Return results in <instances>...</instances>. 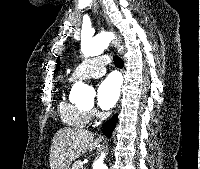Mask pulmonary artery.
Listing matches in <instances>:
<instances>
[{"mask_svg":"<svg viewBox=\"0 0 200 169\" xmlns=\"http://www.w3.org/2000/svg\"><path fill=\"white\" fill-rule=\"evenodd\" d=\"M108 60L104 56H97L79 63L70 75V80H81L100 77L106 72Z\"/></svg>","mask_w":200,"mask_h":169,"instance_id":"1","label":"pulmonary artery"}]
</instances>
